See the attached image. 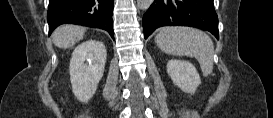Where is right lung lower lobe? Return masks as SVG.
<instances>
[{"instance_id":"1","label":"right lung lower lobe","mask_w":273,"mask_h":118,"mask_svg":"<svg viewBox=\"0 0 273 118\" xmlns=\"http://www.w3.org/2000/svg\"><path fill=\"white\" fill-rule=\"evenodd\" d=\"M114 0H49V35L61 24L101 28L113 35Z\"/></svg>"}]
</instances>
